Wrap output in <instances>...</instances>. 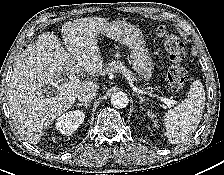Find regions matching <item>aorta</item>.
<instances>
[{
  "mask_svg": "<svg viewBox=\"0 0 224 175\" xmlns=\"http://www.w3.org/2000/svg\"><path fill=\"white\" fill-rule=\"evenodd\" d=\"M129 103V99L126 93L124 92H116L111 97V104L115 108H125Z\"/></svg>",
  "mask_w": 224,
  "mask_h": 175,
  "instance_id": "762f6f07",
  "label": "aorta"
}]
</instances>
